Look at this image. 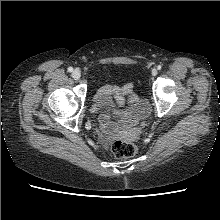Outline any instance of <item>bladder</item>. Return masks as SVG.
<instances>
[{
	"instance_id": "bladder-1",
	"label": "bladder",
	"mask_w": 220,
	"mask_h": 220,
	"mask_svg": "<svg viewBox=\"0 0 220 220\" xmlns=\"http://www.w3.org/2000/svg\"><path fill=\"white\" fill-rule=\"evenodd\" d=\"M108 96V93L104 90V87L100 86L95 89L92 95V99L95 103H102L105 98ZM150 113L149 104L144 100H139L129 112L122 118L124 122H136L144 120Z\"/></svg>"
}]
</instances>
